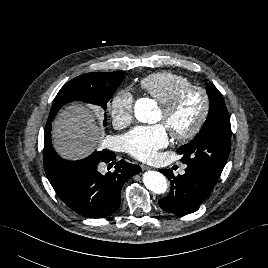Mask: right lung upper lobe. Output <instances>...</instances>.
Returning <instances> with one entry per match:
<instances>
[{"instance_id": "right-lung-upper-lobe-1", "label": "right lung upper lobe", "mask_w": 268, "mask_h": 268, "mask_svg": "<svg viewBox=\"0 0 268 268\" xmlns=\"http://www.w3.org/2000/svg\"><path fill=\"white\" fill-rule=\"evenodd\" d=\"M124 71L106 73H87L80 75L67 84L58 92L56 99L60 101L51 108L49 118L45 127L44 152L54 159L55 151L51 144V122L58 110L66 103L72 101H87L100 97L113 85L123 80Z\"/></svg>"}]
</instances>
